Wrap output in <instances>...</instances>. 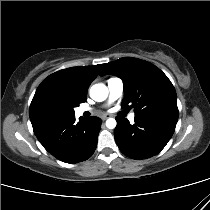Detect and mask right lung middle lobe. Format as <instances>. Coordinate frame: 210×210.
<instances>
[{"instance_id":"1","label":"right lung middle lobe","mask_w":210,"mask_h":210,"mask_svg":"<svg viewBox=\"0 0 210 210\" xmlns=\"http://www.w3.org/2000/svg\"><path fill=\"white\" fill-rule=\"evenodd\" d=\"M77 106L79 105L69 99L57 98L45 102L31 119L34 132L41 131L73 116V108Z\"/></svg>"}]
</instances>
